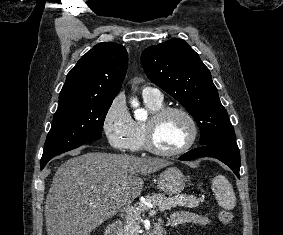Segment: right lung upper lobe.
<instances>
[{"label":"right lung upper lobe","mask_w":283,"mask_h":235,"mask_svg":"<svg viewBox=\"0 0 283 235\" xmlns=\"http://www.w3.org/2000/svg\"><path fill=\"white\" fill-rule=\"evenodd\" d=\"M127 64L124 46L113 42L97 44L67 74L59 102L71 99L113 100L120 91Z\"/></svg>","instance_id":"cb5924a9"}]
</instances>
